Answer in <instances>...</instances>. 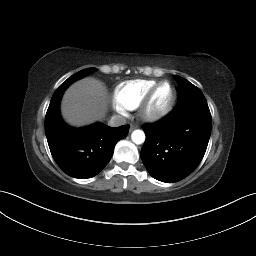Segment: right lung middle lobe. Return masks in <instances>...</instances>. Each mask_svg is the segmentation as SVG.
I'll return each instance as SVG.
<instances>
[{
  "mask_svg": "<svg viewBox=\"0 0 256 256\" xmlns=\"http://www.w3.org/2000/svg\"><path fill=\"white\" fill-rule=\"evenodd\" d=\"M94 70H96V68H87L77 72L76 74L69 77L65 82H63L55 91V93L63 92L72 82L84 77L85 75L89 74L91 71Z\"/></svg>",
  "mask_w": 256,
  "mask_h": 256,
  "instance_id": "obj_1",
  "label": "right lung middle lobe"
}]
</instances>
